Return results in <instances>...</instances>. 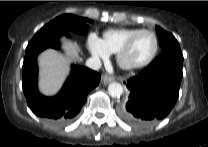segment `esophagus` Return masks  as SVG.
Masks as SVG:
<instances>
[{"label": "esophagus", "instance_id": "1", "mask_svg": "<svg viewBox=\"0 0 208 147\" xmlns=\"http://www.w3.org/2000/svg\"><path fill=\"white\" fill-rule=\"evenodd\" d=\"M114 81V77L113 76H110V75H104L103 77H102V82H103V84H105V85H107V84H109V83H111V82H113Z\"/></svg>", "mask_w": 208, "mask_h": 147}]
</instances>
